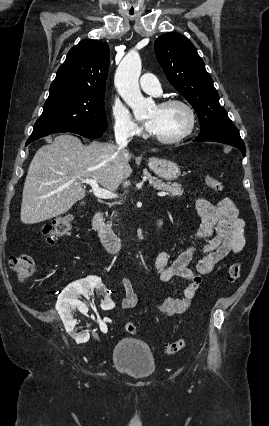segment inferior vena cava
<instances>
[{"mask_svg": "<svg viewBox=\"0 0 269 426\" xmlns=\"http://www.w3.org/2000/svg\"><path fill=\"white\" fill-rule=\"evenodd\" d=\"M116 138V144L118 145V150H123L125 149V147H127V144L129 142V139L126 135L124 134H116L115 135Z\"/></svg>", "mask_w": 269, "mask_h": 426, "instance_id": "602c4592", "label": "inferior vena cava"}]
</instances>
